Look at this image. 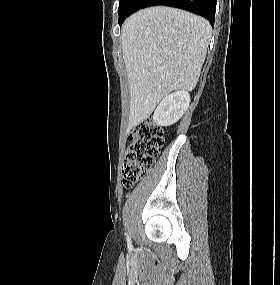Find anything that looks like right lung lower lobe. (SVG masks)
<instances>
[{"label": "right lung lower lobe", "mask_w": 280, "mask_h": 285, "mask_svg": "<svg viewBox=\"0 0 280 285\" xmlns=\"http://www.w3.org/2000/svg\"><path fill=\"white\" fill-rule=\"evenodd\" d=\"M216 4L217 0H138L130 15L145 7L165 5L201 15L214 26ZM124 20H118L119 25H122Z\"/></svg>", "instance_id": "1"}]
</instances>
